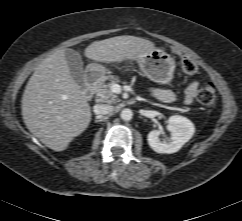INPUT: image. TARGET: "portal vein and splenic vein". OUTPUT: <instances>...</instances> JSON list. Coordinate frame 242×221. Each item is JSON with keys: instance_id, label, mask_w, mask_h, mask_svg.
I'll return each instance as SVG.
<instances>
[{"instance_id": "1", "label": "portal vein and splenic vein", "mask_w": 242, "mask_h": 221, "mask_svg": "<svg viewBox=\"0 0 242 221\" xmlns=\"http://www.w3.org/2000/svg\"><path fill=\"white\" fill-rule=\"evenodd\" d=\"M114 87H117L118 89H121L119 85H114ZM125 90H128V86L123 87Z\"/></svg>"}]
</instances>
